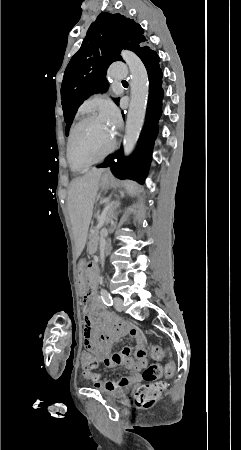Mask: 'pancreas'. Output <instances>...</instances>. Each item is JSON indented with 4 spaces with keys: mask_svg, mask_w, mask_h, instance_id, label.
Masks as SVG:
<instances>
[{
    "mask_svg": "<svg viewBox=\"0 0 241 450\" xmlns=\"http://www.w3.org/2000/svg\"><path fill=\"white\" fill-rule=\"evenodd\" d=\"M93 231L94 232H92V236H90V238H89V241H90V244H89V246H90V250H95L96 249V246H97V243L99 242V233L98 232H100V231H97L96 230V227H94L93 228Z\"/></svg>",
    "mask_w": 241,
    "mask_h": 450,
    "instance_id": "1",
    "label": "pancreas"
}]
</instances>
